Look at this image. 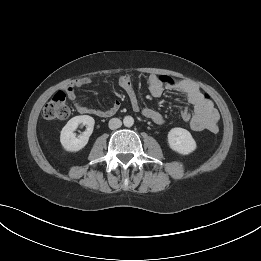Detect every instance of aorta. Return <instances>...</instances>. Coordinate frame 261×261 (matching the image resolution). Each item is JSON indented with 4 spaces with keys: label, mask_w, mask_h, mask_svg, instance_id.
Returning a JSON list of instances; mask_svg holds the SVG:
<instances>
[{
    "label": "aorta",
    "mask_w": 261,
    "mask_h": 261,
    "mask_svg": "<svg viewBox=\"0 0 261 261\" xmlns=\"http://www.w3.org/2000/svg\"><path fill=\"white\" fill-rule=\"evenodd\" d=\"M123 123L126 127H131L134 124V119L132 116H125Z\"/></svg>",
    "instance_id": "aorta-1"
}]
</instances>
